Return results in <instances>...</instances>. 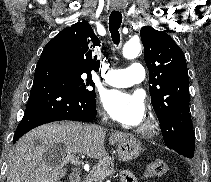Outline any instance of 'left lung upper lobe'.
Segmentation results:
<instances>
[{
    "mask_svg": "<svg viewBox=\"0 0 211 182\" xmlns=\"http://www.w3.org/2000/svg\"><path fill=\"white\" fill-rule=\"evenodd\" d=\"M149 70L151 103L168 148L194 157L195 134L189 112V78L183 51L164 31L140 30Z\"/></svg>",
    "mask_w": 211,
    "mask_h": 182,
    "instance_id": "5c2ea615",
    "label": "left lung upper lobe"
}]
</instances>
